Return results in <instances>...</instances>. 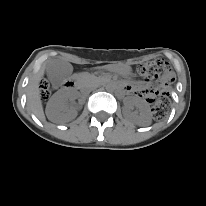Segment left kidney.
<instances>
[{
	"mask_svg": "<svg viewBox=\"0 0 206 206\" xmlns=\"http://www.w3.org/2000/svg\"><path fill=\"white\" fill-rule=\"evenodd\" d=\"M136 107L139 113L132 112V108ZM124 115L129 119H133L139 126H149L151 124V112L148 103L138 97H129L125 101Z\"/></svg>",
	"mask_w": 206,
	"mask_h": 206,
	"instance_id": "left-kidney-1",
	"label": "left kidney"
}]
</instances>
